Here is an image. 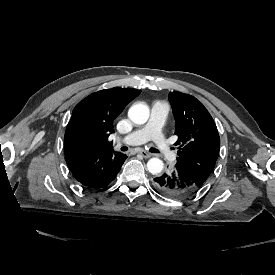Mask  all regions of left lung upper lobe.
<instances>
[{
    "label": "left lung upper lobe",
    "instance_id": "1",
    "mask_svg": "<svg viewBox=\"0 0 275 275\" xmlns=\"http://www.w3.org/2000/svg\"><path fill=\"white\" fill-rule=\"evenodd\" d=\"M176 124L180 168L198 187L214 169L220 150L216 124L195 97L178 91L169 93Z\"/></svg>",
    "mask_w": 275,
    "mask_h": 275
}]
</instances>
